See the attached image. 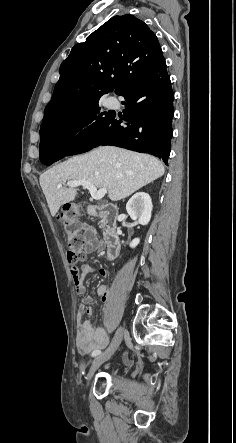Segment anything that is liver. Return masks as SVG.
<instances>
[{"label": "liver", "instance_id": "1", "mask_svg": "<svg viewBox=\"0 0 236 443\" xmlns=\"http://www.w3.org/2000/svg\"><path fill=\"white\" fill-rule=\"evenodd\" d=\"M156 157L113 146H101L60 163L40 176V186L54 217L60 206L78 195L73 188L60 187L66 181L83 180L105 188L112 201L124 199L164 174Z\"/></svg>", "mask_w": 236, "mask_h": 443}]
</instances>
